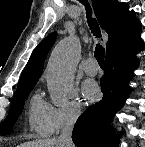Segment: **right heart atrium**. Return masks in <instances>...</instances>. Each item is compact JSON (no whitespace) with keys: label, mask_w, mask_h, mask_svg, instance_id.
Listing matches in <instances>:
<instances>
[{"label":"right heart atrium","mask_w":145,"mask_h":147,"mask_svg":"<svg viewBox=\"0 0 145 147\" xmlns=\"http://www.w3.org/2000/svg\"><path fill=\"white\" fill-rule=\"evenodd\" d=\"M81 113V102L75 95H72L64 104L50 105L48 120L51 133H58L75 124Z\"/></svg>","instance_id":"obj_1"}]
</instances>
